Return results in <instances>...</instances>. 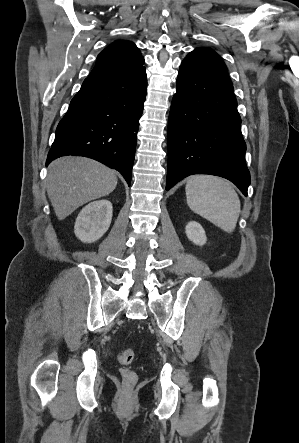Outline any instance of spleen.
<instances>
[{"label": "spleen", "mask_w": 299, "mask_h": 443, "mask_svg": "<svg viewBox=\"0 0 299 443\" xmlns=\"http://www.w3.org/2000/svg\"><path fill=\"white\" fill-rule=\"evenodd\" d=\"M191 210L224 230L232 232L240 213V200L232 185L213 176H194L186 184Z\"/></svg>", "instance_id": "1"}]
</instances>
